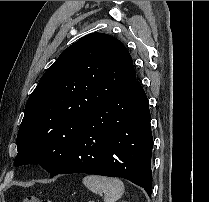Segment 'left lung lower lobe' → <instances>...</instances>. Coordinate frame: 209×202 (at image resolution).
I'll return each instance as SVG.
<instances>
[{
  "instance_id": "0a47b994",
  "label": "left lung lower lobe",
  "mask_w": 209,
  "mask_h": 202,
  "mask_svg": "<svg viewBox=\"0 0 209 202\" xmlns=\"http://www.w3.org/2000/svg\"><path fill=\"white\" fill-rule=\"evenodd\" d=\"M152 148L149 103L136 80L87 115L70 155L55 175L81 172L121 177L143 187L151 197Z\"/></svg>"
}]
</instances>
